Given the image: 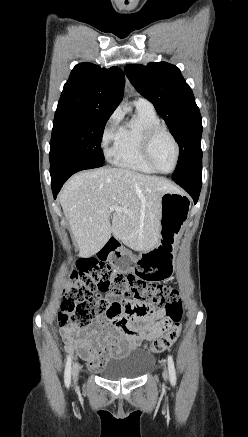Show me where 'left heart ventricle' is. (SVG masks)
<instances>
[{
  "mask_svg": "<svg viewBox=\"0 0 248 437\" xmlns=\"http://www.w3.org/2000/svg\"><path fill=\"white\" fill-rule=\"evenodd\" d=\"M152 158L156 166L162 171L172 169L175 160V147L168 135L160 133L152 145Z\"/></svg>",
  "mask_w": 248,
  "mask_h": 437,
  "instance_id": "b2bd125f",
  "label": "left heart ventricle"
}]
</instances>
